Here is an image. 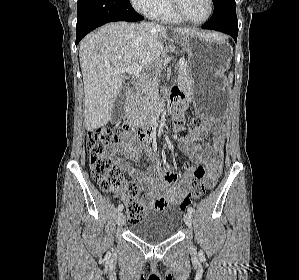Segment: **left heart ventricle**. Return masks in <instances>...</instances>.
<instances>
[{
	"mask_svg": "<svg viewBox=\"0 0 299 280\" xmlns=\"http://www.w3.org/2000/svg\"><path fill=\"white\" fill-rule=\"evenodd\" d=\"M184 13L192 20L203 19L208 12V0H181Z\"/></svg>",
	"mask_w": 299,
	"mask_h": 280,
	"instance_id": "left-heart-ventricle-1",
	"label": "left heart ventricle"
}]
</instances>
